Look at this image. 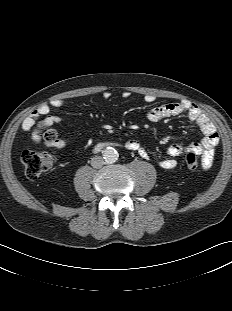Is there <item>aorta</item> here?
Returning a JSON list of instances; mask_svg holds the SVG:
<instances>
[{
    "label": "aorta",
    "instance_id": "aorta-1",
    "mask_svg": "<svg viewBox=\"0 0 232 311\" xmlns=\"http://www.w3.org/2000/svg\"><path fill=\"white\" fill-rule=\"evenodd\" d=\"M102 156L107 163H113L118 159L119 154L113 147H106L102 151Z\"/></svg>",
    "mask_w": 232,
    "mask_h": 311
}]
</instances>
